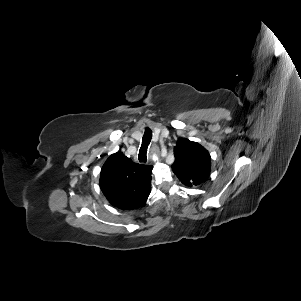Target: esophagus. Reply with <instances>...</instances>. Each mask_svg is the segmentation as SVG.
I'll use <instances>...</instances> for the list:
<instances>
[{
	"mask_svg": "<svg viewBox=\"0 0 301 301\" xmlns=\"http://www.w3.org/2000/svg\"><path fill=\"white\" fill-rule=\"evenodd\" d=\"M151 150H152V152H154V153L158 152V148H157L156 145H153Z\"/></svg>",
	"mask_w": 301,
	"mask_h": 301,
	"instance_id": "34e87169",
	"label": "esophagus"
}]
</instances>
